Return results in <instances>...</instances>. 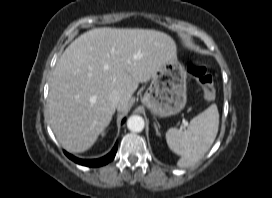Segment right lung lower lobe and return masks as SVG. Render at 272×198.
Masks as SVG:
<instances>
[{
	"label": "right lung lower lobe",
	"instance_id": "98d812e1",
	"mask_svg": "<svg viewBox=\"0 0 272 198\" xmlns=\"http://www.w3.org/2000/svg\"><path fill=\"white\" fill-rule=\"evenodd\" d=\"M124 120H123V122H124ZM116 151H117V143L115 144L114 148L112 149V151L108 155H106L100 159H94V160H82V159H78V158L70 155L66 151H64V153L68 158H70L71 160H73L74 162H76L78 164L89 166V167H98V166L105 165L108 162H110L111 160H113L115 157Z\"/></svg>",
	"mask_w": 272,
	"mask_h": 198
}]
</instances>
